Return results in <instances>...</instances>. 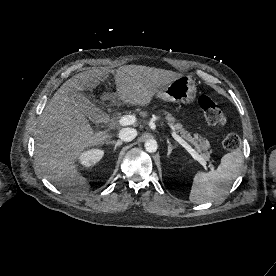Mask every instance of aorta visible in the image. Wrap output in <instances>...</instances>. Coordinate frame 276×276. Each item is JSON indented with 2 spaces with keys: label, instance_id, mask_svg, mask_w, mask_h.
<instances>
[{
  "label": "aorta",
  "instance_id": "762f6f07",
  "mask_svg": "<svg viewBox=\"0 0 276 276\" xmlns=\"http://www.w3.org/2000/svg\"><path fill=\"white\" fill-rule=\"evenodd\" d=\"M144 147H145L146 151L149 152V153L156 152L157 148H158L157 142L155 140H152V139L147 140L144 144Z\"/></svg>",
  "mask_w": 276,
  "mask_h": 276
}]
</instances>
